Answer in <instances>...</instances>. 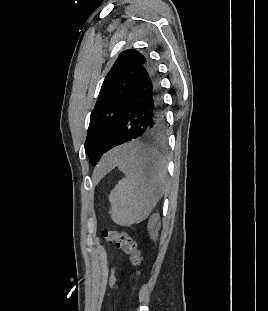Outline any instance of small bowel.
Instances as JSON below:
<instances>
[{
  "label": "small bowel",
  "instance_id": "c3829d8e",
  "mask_svg": "<svg viewBox=\"0 0 268 311\" xmlns=\"http://www.w3.org/2000/svg\"><path fill=\"white\" fill-rule=\"evenodd\" d=\"M109 285H110L111 288H116L117 287L116 269L114 267H112L111 271H110Z\"/></svg>",
  "mask_w": 268,
  "mask_h": 311
}]
</instances>
